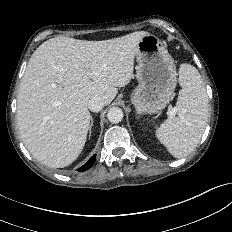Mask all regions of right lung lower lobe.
Wrapping results in <instances>:
<instances>
[{
	"label": "right lung lower lobe",
	"mask_w": 232,
	"mask_h": 232,
	"mask_svg": "<svg viewBox=\"0 0 232 232\" xmlns=\"http://www.w3.org/2000/svg\"><path fill=\"white\" fill-rule=\"evenodd\" d=\"M95 160H96V155H94L92 158H90L89 161L86 164H84L82 167H80L78 171H86V170H88L89 168L92 167Z\"/></svg>",
	"instance_id": "1"
}]
</instances>
